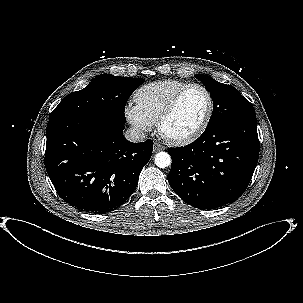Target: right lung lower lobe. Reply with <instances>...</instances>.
Segmentation results:
<instances>
[{"label": "right lung lower lobe", "mask_w": 303, "mask_h": 303, "mask_svg": "<svg viewBox=\"0 0 303 303\" xmlns=\"http://www.w3.org/2000/svg\"><path fill=\"white\" fill-rule=\"evenodd\" d=\"M123 123L103 117L49 121L45 166L59 196L71 206L105 214L135 190L153 141L131 143Z\"/></svg>", "instance_id": "obj_1"}]
</instances>
